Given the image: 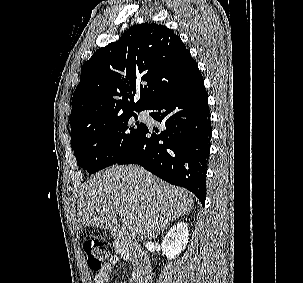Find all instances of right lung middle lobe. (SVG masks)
I'll return each instance as SVG.
<instances>
[{
  "instance_id": "dd1d6c3e",
  "label": "right lung middle lobe",
  "mask_w": 303,
  "mask_h": 283,
  "mask_svg": "<svg viewBox=\"0 0 303 283\" xmlns=\"http://www.w3.org/2000/svg\"><path fill=\"white\" fill-rule=\"evenodd\" d=\"M138 112L133 111L72 133L71 144L79 167L92 174L124 157L146 129L144 123L136 121Z\"/></svg>"
}]
</instances>
